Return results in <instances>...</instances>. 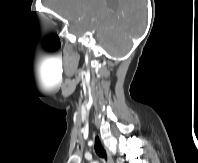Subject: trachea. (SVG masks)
<instances>
[{
    "label": "trachea",
    "instance_id": "1",
    "mask_svg": "<svg viewBox=\"0 0 198 163\" xmlns=\"http://www.w3.org/2000/svg\"><path fill=\"white\" fill-rule=\"evenodd\" d=\"M94 147H95V152L99 157H101V158L106 157V151L103 148L98 136L95 138V146Z\"/></svg>",
    "mask_w": 198,
    "mask_h": 163
}]
</instances>
